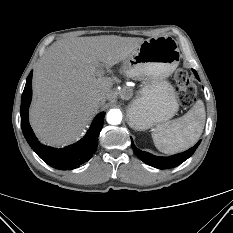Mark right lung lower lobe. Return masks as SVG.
I'll return each instance as SVG.
<instances>
[{"label": "right lung lower lobe", "instance_id": "right-lung-lower-lobe-1", "mask_svg": "<svg viewBox=\"0 0 233 233\" xmlns=\"http://www.w3.org/2000/svg\"><path fill=\"white\" fill-rule=\"evenodd\" d=\"M32 98V72H30L21 100V128L25 139L34 152L48 165L59 170H71L88 161L98 146L99 133L103 127L105 112L94 118L86 135L77 143L63 149L47 147L35 137L28 120V110Z\"/></svg>", "mask_w": 233, "mask_h": 233}]
</instances>
